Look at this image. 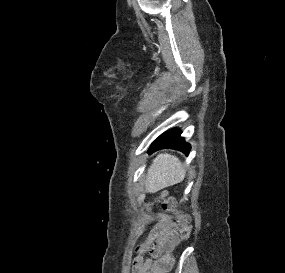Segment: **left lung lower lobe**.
<instances>
[{
    "instance_id": "0a47b994",
    "label": "left lung lower lobe",
    "mask_w": 285,
    "mask_h": 273,
    "mask_svg": "<svg viewBox=\"0 0 285 273\" xmlns=\"http://www.w3.org/2000/svg\"><path fill=\"white\" fill-rule=\"evenodd\" d=\"M181 130L174 128L159 136L151 145L149 153H153L160 149L171 148L189 154L191 149L189 143H186L180 136Z\"/></svg>"
}]
</instances>
